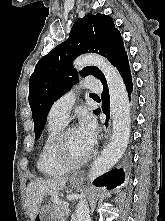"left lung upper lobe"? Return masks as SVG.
<instances>
[{"mask_svg": "<svg viewBox=\"0 0 165 221\" xmlns=\"http://www.w3.org/2000/svg\"><path fill=\"white\" fill-rule=\"evenodd\" d=\"M87 52L106 57L115 67L127 55L122 36L110 16L89 13L78 19L69 38L38 61L29 81V104L35 139L41 134L52 104L78 81L73 60ZM81 74H91L101 82L106 80L102 72L94 66L85 67Z\"/></svg>", "mask_w": 165, "mask_h": 221, "instance_id": "left-lung-upper-lobe-1", "label": "left lung upper lobe"}]
</instances>
